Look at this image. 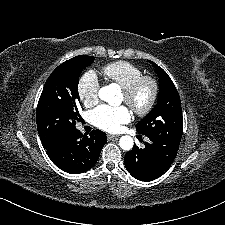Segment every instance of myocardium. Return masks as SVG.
<instances>
[{"label": "myocardium", "instance_id": "f54148a6", "mask_svg": "<svg viewBox=\"0 0 225 225\" xmlns=\"http://www.w3.org/2000/svg\"><path fill=\"white\" fill-rule=\"evenodd\" d=\"M144 84H148L151 88L150 97L147 103L141 107L130 105V101L137 93L139 88ZM123 94L125 96L127 104L131 107L133 112L136 113L137 115L144 116L148 114L156 104L159 94V84L154 77L149 75H142L136 78L134 81H132L128 86L123 88Z\"/></svg>", "mask_w": 225, "mask_h": 225}]
</instances>
